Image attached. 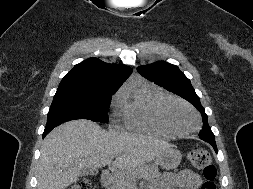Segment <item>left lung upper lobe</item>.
<instances>
[{
    "instance_id": "5c2ea615",
    "label": "left lung upper lobe",
    "mask_w": 253,
    "mask_h": 189,
    "mask_svg": "<svg viewBox=\"0 0 253 189\" xmlns=\"http://www.w3.org/2000/svg\"><path fill=\"white\" fill-rule=\"evenodd\" d=\"M140 75L151 82L164 87L168 91L181 96L194 105L202 114L204 121L203 130L200 133L213 137L214 134L207 122V115L196 95L190 80L175 65L166 62H156L137 68Z\"/></svg>"
}]
</instances>
